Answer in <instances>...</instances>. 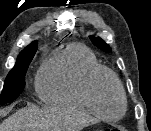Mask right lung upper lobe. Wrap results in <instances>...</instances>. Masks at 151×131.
<instances>
[{"label": "right lung upper lobe", "instance_id": "obj_1", "mask_svg": "<svg viewBox=\"0 0 151 131\" xmlns=\"http://www.w3.org/2000/svg\"><path fill=\"white\" fill-rule=\"evenodd\" d=\"M34 45H37V42L35 41V42H32L29 46H27V47H30V46H34Z\"/></svg>", "mask_w": 151, "mask_h": 131}]
</instances>
